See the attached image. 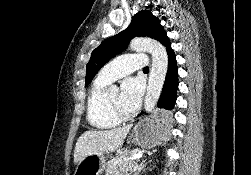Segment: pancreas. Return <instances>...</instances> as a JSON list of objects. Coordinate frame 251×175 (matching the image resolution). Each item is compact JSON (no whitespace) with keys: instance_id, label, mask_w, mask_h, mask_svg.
<instances>
[{"instance_id":"pancreas-1","label":"pancreas","mask_w":251,"mask_h":175,"mask_svg":"<svg viewBox=\"0 0 251 175\" xmlns=\"http://www.w3.org/2000/svg\"><path fill=\"white\" fill-rule=\"evenodd\" d=\"M134 153H138V151H136V149H132V151L125 149L119 157H113V159H110L105 169L106 175H129L127 171L128 169H132L136 161H133V159L128 161L127 157H129V155H134Z\"/></svg>"}]
</instances>
